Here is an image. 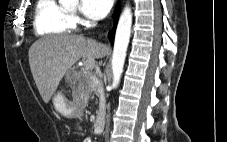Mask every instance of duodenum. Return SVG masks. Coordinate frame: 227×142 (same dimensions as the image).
Returning <instances> with one entry per match:
<instances>
[{"label": "duodenum", "instance_id": "obj_1", "mask_svg": "<svg viewBox=\"0 0 227 142\" xmlns=\"http://www.w3.org/2000/svg\"><path fill=\"white\" fill-rule=\"evenodd\" d=\"M104 123V112H101L92 126V131L95 134H99L102 131V126Z\"/></svg>", "mask_w": 227, "mask_h": 142}]
</instances>
